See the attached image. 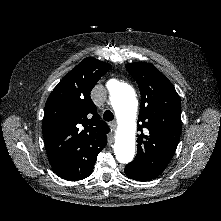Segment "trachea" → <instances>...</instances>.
<instances>
[{"label": "trachea", "instance_id": "trachea-1", "mask_svg": "<svg viewBox=\"0 0 221 221\" xmlns=\"http://www.w3.org/2000/svg\"><path fill=\"white\" fill-rule=\"evenodd\" d=\"M103 119L108 122L112 121L114 119V115L110 110H105L103 114Z\"/></svg>", "mask_w": 221, "mask_h": 221}]
</instances>
